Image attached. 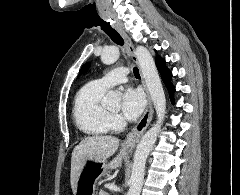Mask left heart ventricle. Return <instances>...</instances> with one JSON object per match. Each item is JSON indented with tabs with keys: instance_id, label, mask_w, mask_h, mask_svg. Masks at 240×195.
<instances>
[{
	"instance_id": "b2bd125f",
	"label": "left heart ventricle",
	"mask_w": 240,
	"mask_h": 195,
	"mask_svg": "<svg viewBox=\"0 0 240 195\" xmlns=\"http://www.w3.org/2000/svg\"><path fill=\"white\" fill-rule=\"evenodd\" d=\"M112 111H114V112H117V111H118V109H112Z\"/></svg>"
}]
</instances>
